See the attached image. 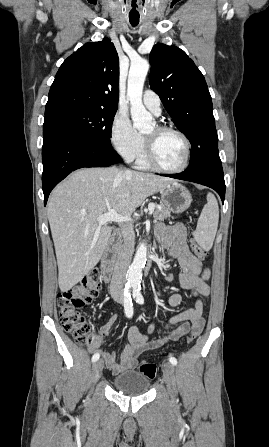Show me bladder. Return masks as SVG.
Masks as SVG:
<instances>
[{"label":"bladder","instance_id":"obj_1","mask_svg":"<svg viewBox=\"0 0 269 447\" xmlns=\"http://www.w3.org/2000/svg\"><path fill=\"white\" fill-rule=\"evenodd\" d=\"M114 391L118 393H126L128 397H137L145 395L151 390V378L148 373L125 370L112 378Z\"/></svg>","mask_w":269,"mask_h":447}]
</instances>
